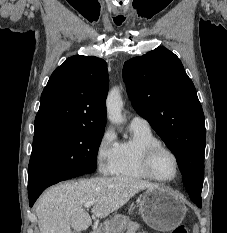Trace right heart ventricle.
<instances>
[{"label": "right heart ventricle", "mask_w": 227, "mask_h": 233, "mask_svg": "<svg viewBox=\"0 0 227 233\" xmlns=\"http://www.w3.org/2000/svg\"><path fill=\"white\" fill-rule=\"evenodd\" d=\"M131 138L118 145V160L114 175L134 178L149 179L141 165L143 150L154 144H160L150 129L130 127Z\"/></svg>", "instance_id": "obj_1"}]
</instances>
